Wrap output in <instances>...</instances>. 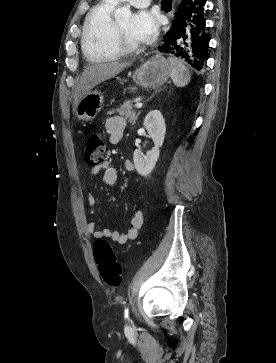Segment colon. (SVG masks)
Segmentation results:
<instances>
[{"instance_id":"colon-1","label":"colon","mask_w":276,"mask_h":363,"mask_svg":"<svg viewBox=\"0 0 276 363\" xmlns=\"http://www.w3.org/2000/svg\"><path fill=\"white\" fill-rule=\"evenodd\" d=\"M108 156L107 147L97 132H91L86 138L84 157L89 166H99L106 162ZM93 255L98 271L109 286L116 287L122 281V269L116 258L111 244L99 239L93 247Z\"/></svg>"}]
</instances>
